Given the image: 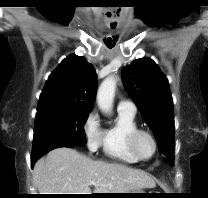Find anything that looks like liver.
<instances>
[{"instance_id": "6515ba94", "label": "liver", "mask_w": 208, "mask_h": 198, "mask_svg": "<svg viewBox=\"0 0 208 198\" xmlns=\"http://www.w3.org/2000/svg\"><path fill=\"white\" fill-rule=\"evenodd\" d=\"M39 194L126 193L155 187L145 172L122 164L94 161L71 148H58L39 159L33 169Z\"/></svg>"}]
</instances>
